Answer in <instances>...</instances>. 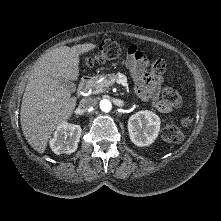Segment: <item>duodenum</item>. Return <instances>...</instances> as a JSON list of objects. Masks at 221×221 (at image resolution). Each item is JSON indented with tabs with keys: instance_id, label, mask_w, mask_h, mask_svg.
Instances as JSON below:
<instances>
[{
	"instance_id": "obj_1",
	"label": "duodenum",
	"mask_w": 221,
	"mask_h": 221,
	"mask_svg": "<svg viewBox=\"0 0 221 221\" xmlns=\"http://www.w3.org/2000/svg\"><path fill=\"white\" fill-rule=\"evenodd\" d=\"M93 82L92 76H84L79 83V93L84 95L88 92L91 84Z\"/></svg>"
}]
</instances>
